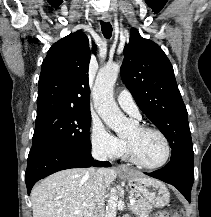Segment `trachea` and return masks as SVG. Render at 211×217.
I'll list each match as a JSON object with an SVG mask.
<instances>
[{
  "mask_svg": "<svg viewBox=\"0 0 211 217\" xmlns=\"http://www.w3.org/2000/svg\"><path fill=\"white\" fill-rule=\"evenodd\" d=\"M101 30L106 39H110L112 36V26L109 22L101 21Z\"/></svg>",
  "mask_w": 211,
  "mask_h": 217,
  "instance_id": "obj_1",
  "label": "trachea"
}]
</instances>
